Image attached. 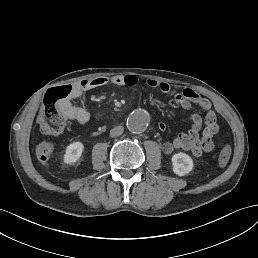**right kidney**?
Returning <instances> with one entry per match:
<instances>
[{"label": "right kidney", "instance_id": "1", "mask_svg": "<svg viewBox=\"0 0 258 258\" xmlns=\"http://www.w3.org/2000/svg\"><path fill=\"white\" fill-rule=\"evenodd\" d=\"M84 146L81 142L71 143L65 152L64 163L73 164L75 163L82 155Z\"/></svg>", "mask_w": 258, "mask_h": 258}]
</instances>
